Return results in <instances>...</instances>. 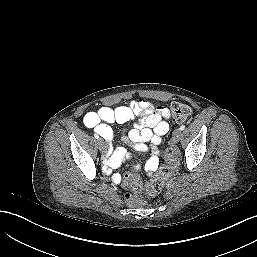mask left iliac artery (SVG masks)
I'll list each match as a JSON object with an SVG mask.
<instances>
[{
	"label": "left iliac artery",
	"mask_w": 257,
	"mask_h": 257,
	"mask_svg": "<svg viewBox=\"0 0 257 257\" xmlns=\"http://www.w3.org/2000/svg\"><path fill=\"white\" fill-rule=\"evenodd\" d=\"M181 131L185 129V125H181L179 128Z\"/></svg>",
	"instance_id": "44dca946"
}]
</instances>
